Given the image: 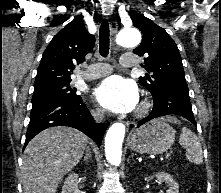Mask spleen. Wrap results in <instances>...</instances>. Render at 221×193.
I'll list each match as a JSON object with an SVG mask.
<instances>
[{
	"label": "spleen",
	"instance_id": "spleen-1",
	"mask_svg": "<svg viewBox=\"0 0 221 193\" xmlns=\"http://www.w3.org/2000/svg\"><path fill=\"white\" fill-rule=\"evenodd\" d=\"M179 143L186 149V157L190 162L201 164L203 162L202 148L197 136L188 128L183 127Z\"/></svg>",
	"mask_w": 221,
	"mask_h": 193
}]
</instances>
